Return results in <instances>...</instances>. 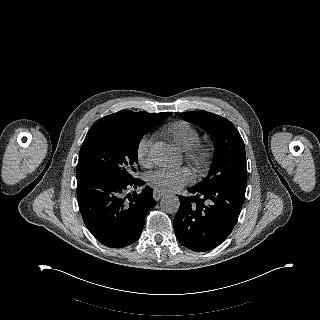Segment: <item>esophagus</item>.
Here are the masks:
<instances>
[{"instance_id": "esophagus-1", "label": "esophagus", "mask_w": 320, "mask_h": 320, "mask_svg": "<svg viewBox=\"0 0 320 320\" xmlns=\"http://www.w3.org/2000/svg\"><path fill=\"white\" fill-rule=\"evenodd\" d=\"M164 194H165L164 191H162L160 189H155L153 191V197L155 200H159Z\"/></svg>"}]
</instances>
